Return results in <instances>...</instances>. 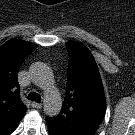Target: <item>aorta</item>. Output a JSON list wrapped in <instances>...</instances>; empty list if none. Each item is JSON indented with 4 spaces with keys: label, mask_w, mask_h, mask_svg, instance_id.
<instances>
[{
    "label": "aorta",
    "mask_w": 135,
    "mask_h": 135,
    "mask_svg": "<svg viewBox=\"0 0 135 135\" xmlns=\"http://www.w3.org/2000/svg\"><path fill=\"white\" fill-rule=\"evenodd\" d=\"M30 72L34 83L46 90L44 112L51 117L58 115L62 107V101L52 88L53 78L51 71L45 64L37 62L32 65Z\"/></svg>",
    "instance_id": "1"
}]
</instances>
